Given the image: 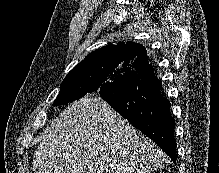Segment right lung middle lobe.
<instances>
[{
    "label": "right lung middle lobe",
    "instance_id": "dd1d6c3e",
    "mask_svg": "<svg viewBox=\"0 0 219 173\" xmlns=\"http://www.w3.org/2000/svg\"><path fill=\"white\" fill-rule=\"evenodd\" d=\"M133 71L130 65L116 61L98 66H86L79 71L69 72L60 86L54 106L65 105L80 99L86 93H107L117 88L123 78Z\"/></svg>",
    "mask_w": 219,
    "mask_h": 173
}]
</instances>
